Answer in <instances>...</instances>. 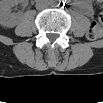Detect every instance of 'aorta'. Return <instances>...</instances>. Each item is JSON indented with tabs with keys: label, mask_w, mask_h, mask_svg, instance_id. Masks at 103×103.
I'll list each match as a JSON object with an SVG mask.
<instances>
[{
	"label": "aorta",
	"mask_w": 103,
	"mask_h": 103,
	"mask_svg": "<svg viewBox=\"0 0 103 103\" xmlns=\"http://www.w3.org/2000/svg\"><path fill=\"white\" fill-rule=\"evenodd\" d=\"M51 5H52V6H56V5H57V2H55V1H54V2H51Z\"/></svg>",
	"instance_id": "1"
}]
</instances>
